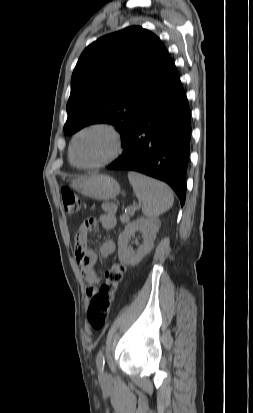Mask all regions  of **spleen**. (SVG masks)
Listing matches in <instances>:
<instances>
[{
	"label": "spleen",
	"instance_id": "1",
	"mask_svg": "<svg viewBox=\"0 0 253 413\" xmlns=\"http://www.w3.org/2000/svg\"><path fill=\"white\" fill-rule=\"evenodd\" d=\"M128 179L138 200L143 204L142 212L145 216L156 218L172 207L173 193L165 183L133 171L128 173Z\"/></svg>",
	"mask_w": 253,
	"mask_h": 413
}]
</instances>
